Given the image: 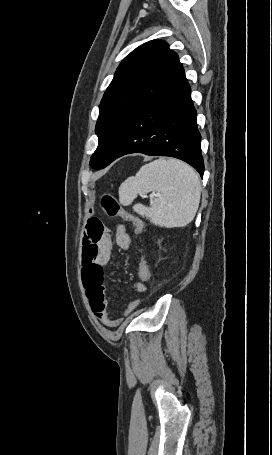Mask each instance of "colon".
<instances>
[{"mask_svg": "<svg viewBox=\"0 0 272 455\" xmlns=\"http://www.w3.org/2000/svg\"><path fill=\"white\" fill-rule=\"evenodd\" d=\"M103 207L109 216H120L125 221L130 222L134 227L137 234H140L143 229L142 221L135 216L133 213L124 209L120 203L112 196H105L102 201ZM138 276L139 281L143 284H148L150 280V267L147 259L143 253H141L139 265H138Z\"/></svg>", "mask_w": 272, "mask_h": 455, "instance_id": "obj_1", "label": "colon"}]
</instances>
